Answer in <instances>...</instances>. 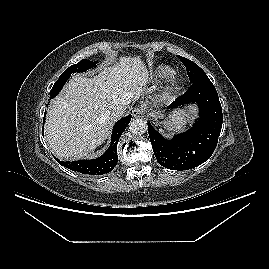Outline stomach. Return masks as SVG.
I'll list each match as a JSON object with an SVG mask.
<instances>
[{
  "label": "stomach",
  "mask_w": 269,
  "mask_h": 269,
  "mask_svg": "<svg viewBox=\"0 0 269 269\" xmlns=\"http://www.w3.org/2000/svg\"><path fill=\"white\" fill-rule=\"evenodd\" d=\"M165 128L170 129H181L185 125V120L182 118L181 115H173L163 122Z\"/></svg>",
  "instance_id": "1"
}]
</instances>
